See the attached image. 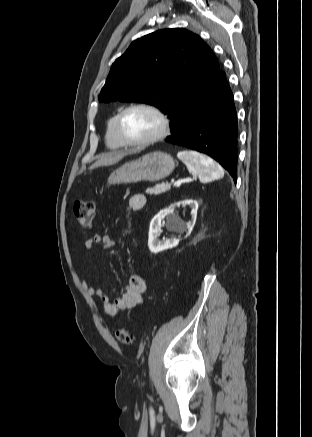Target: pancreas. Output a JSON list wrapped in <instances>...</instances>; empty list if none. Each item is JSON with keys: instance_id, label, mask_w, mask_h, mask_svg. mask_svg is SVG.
Here are the masks:
<instances>
[{"instance_id": "1", "label": "pancreas", "mask_w": 312, "mask_h": 437, "mask_svg": "<svg viewBox=\"0 0 312 437\" xmlns=\"http://www.w3.org/2000/svg\"><path fill=\"white\" fill-rule=\"evenodd\" d=\"M170 188H171V185L169 183H161V184H157L153 188H148L146 190V193L150 194V195H159V194L165 193L166 191L170 190Z\"/></svg>"}]
</instances>
